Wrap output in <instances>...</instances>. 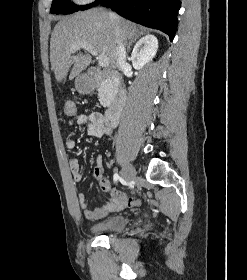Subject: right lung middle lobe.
<instances>
[{
    "label": "right lung middle lobe",
    "mask_w": 247,
    "mask_h": 280,
    "mask_svg": "<svg viewBox=\"0 0 247 280\" xmlns=\"http://www.w3.org/2000/svg\"><path fill=\"white\" fill-rule=\"evenodd\" d=\"M101 0H96L94 3L85 6H71L69 0H53L51 13L52 14H71L79 10H86L98 4Z\"/></svg>",
    "instance_id": "1"
}]
</instances>
